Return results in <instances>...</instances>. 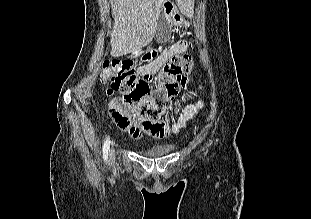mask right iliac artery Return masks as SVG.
<instances>
[{
	"instance_id": "obj_1",
	"label": "right iliac artery",
	"mask_w": 311,
	"mask_h": 219,
	"mask_svg": "<svg viewBox=\"0 0 311 219\" xmlns=\"http://www.w3.org/2000/svg\"><path fill=\"white\" fill-rule=\"evenodd\" d=\"M109 148H110V138L108 136L103 146V158L105 161L108 159Z\"/></svg>"
}]
</instances>
